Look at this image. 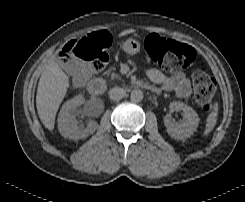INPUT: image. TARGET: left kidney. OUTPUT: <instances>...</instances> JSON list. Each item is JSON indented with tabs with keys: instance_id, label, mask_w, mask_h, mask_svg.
<instances>
[{
	"instance_id": "obj_1",
	"label": "left kidney",
	"mask_w": 245,
	"mask_h": 202,
	"mask_svg": "<svg viewBox=\"0 0 245 202\" xmlns=\"http://www.w3.org/2000/svg\"><path fill=\"white\" fill-rule=\"evenodd\" d=\"M169 108L170 110L182 111L185 121L177 125L171 120L170 115H166L164 124L168 135L177 140H184L191 137L198 127V114L182 102H171Z\"/></svg>"
}]
</instances>
